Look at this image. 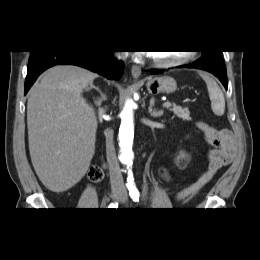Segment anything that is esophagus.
I'll return each instance as SVG.
<instances>
[{
	"mask_svg": "<svg viewBox=\"0 0 260 260\" xmlns=\"http://www.w3.org/2000/svg\"><path fill=\"white\" fill-rule=\"evenodd\" d=\"M131 74L135 79H138L141 75V68L137 65H133L131 68Z\"/></svg>",
	"mask_w": 260,
	"mask_h": 260,
	"instance_id": "obj_1",
	"label": "esophagus"
}]
</instances>
